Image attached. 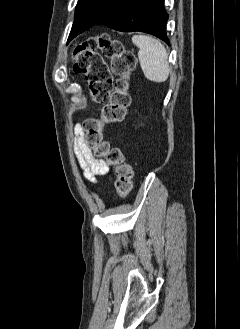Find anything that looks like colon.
<instances>
[{
	"label": "colon",
	"instance_id": "1",
	"mask_svg": "<svg viewBox=\"0 0 240 329\" xmlns=\"http://www.w3.org/2000/svg\"><path fill=\"white\" fill-rule=\"evenodd\" d=\"M105 58L111 60V69ZM72 63L76 73L86 76L94 102L103 106L99 118H89L83 124L85 144L95 156L114 167L117 194L125 197L132 189L134 171L122 151L105 140L104 127L122 121L130 105V78L136 65L135 55L120 41L101 34L77 45Z\"/></svg>",
	"mask_w": 240,
	"mask_h": 329
}]
</instances>
